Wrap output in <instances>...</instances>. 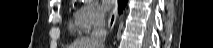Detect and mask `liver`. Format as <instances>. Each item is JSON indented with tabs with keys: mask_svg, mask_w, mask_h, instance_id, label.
I'll return each instance as SVG.
<instances>
[{
	"mask_svg": "<svg viewBox=\"0 0 213 48\" xmlns=\"http://www.w3.org/2000/svg\"><path fill=\"white\" fill-rule=\"evenodd\" d=\"M69 48H96L89 37H82L74 41Z\"/></svg>",
	"mask_w": 213,
	"mask_h": 48,
	"instance_id": "liver-1",
	"label": "liver"
}]
</instances>
